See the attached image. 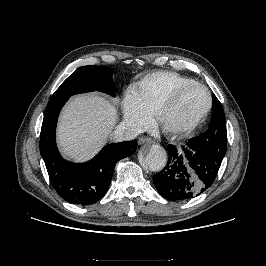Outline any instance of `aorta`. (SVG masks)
<instances>
[{
  "instance_id": "1",
  "label": "aorta",
  "mask_w": 266,
  "mask_h": 266,
  "mask_svg": "<svg viewBox=\"0 0 266 266\" xmlns=\"http://www.w3.org/2000/svg\"><path fill=\"white\" fill-rule=\"evenodd\" d=\"M167 162V154L165 149L158 145L153 144L148 153L144 157V163L148 166L151 171L162 170Z\"/></svg>"
}]
</instances>
